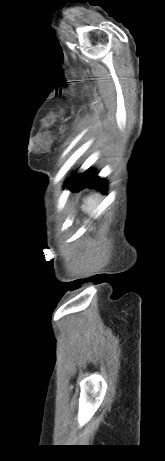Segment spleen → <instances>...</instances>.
<instances>
[{"label":"spleen","instance_id":"3e777b00","mask_svg":"<svg viewBox=\"0 0 165 461\" xmlns=\"http://www.w3.org/2000/svg\"><path fill=\"white\" fill-rule=\"evenodd\" d=\"M84 202L85 205L82 206V210L90 215H93L96 212L99 205L98 199L91 196L86 198Z\"/></svg>","mask_w":165,"mask_h":461}]
</instances>
